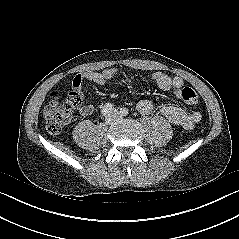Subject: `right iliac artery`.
<instances>
[{
    "instance_id": "1",
    "label": "right iliac artery",
    "mask_w": 239,
    "mask_h": 239,
    "mask_svg": "<svg viewBox=\"0 0 239 239\" xmlns=\"http://www.w3.org/2000/svg\"><path fill=\"white\" fill-rule=\"evenodd\" d=\"M112 107L113 105L111 103H106V105H104L101 110L102 116L106 117L108 113L110 112V110L112 109Z\"/></svg>"
}]
</instances>
